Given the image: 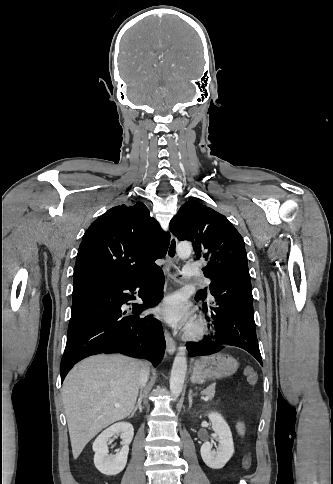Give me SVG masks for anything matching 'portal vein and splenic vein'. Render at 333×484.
<instances>
[{"mask_svg":"<svg viewBox=\"0 0 333 484\" xmlns=\"http://www.w3.org/2000/svg\"><path fill=\"white\" fill-rule=\"evenodd\" d=\"M115 407H120V405L119 404H116Z\"/></svg>","mask_w":333,"mask_h":484,"instance_id":"obj_1","label":"portal vein and splenic vein"}]
</instances>
